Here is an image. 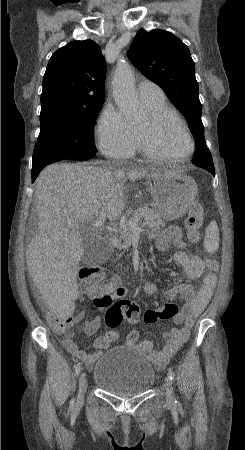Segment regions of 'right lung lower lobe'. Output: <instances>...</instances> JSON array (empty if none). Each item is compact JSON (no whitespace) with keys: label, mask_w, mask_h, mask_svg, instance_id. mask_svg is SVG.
I'll list each match as a JSON object with an SVG mask.
<instances>
[{"label":"right lung lower lobe","mask_w":245,"mask_h":450,"mask_svg":"<svg viewBox=\"0 0 245 450\" xmlns=\"http://www.w3.org/2000/svg\"><path fill=\"white\" fill-rule=\"evenodd\" d=\"M95 155V153H76V154H69V155H64V156H60V157H56L54 159H50L46 162H44L43 164H41L38 167L32 168V182L35 181V179L37 178L38 174L40 173V171L49 163L58 161V160H63V159H74V160H80V161H84V160H88L91 157H93Z\"/></svg>","instance_id":"1"}]
</instances>
